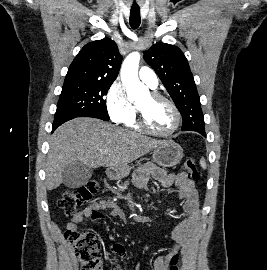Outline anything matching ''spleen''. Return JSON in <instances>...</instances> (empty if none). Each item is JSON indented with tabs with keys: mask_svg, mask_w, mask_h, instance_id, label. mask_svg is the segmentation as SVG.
<instances>
[{
	"mask_svg": "<svg viewBox=\"0 0 267 270\" xmlns=\"http://www.w3.org/2000/svg\"><path fill=\"white\" fill-rule=\"evenodd\" d=\"M200 165H201V167H202L203 169H206V162H205V159H204V158H202V159L200 160Z\"/></svg>",
	"mask_w": 267,
	"mask_h": 270,
	"instance_id": "obj_1",
	"label": "spleen"
}]
</instances>
